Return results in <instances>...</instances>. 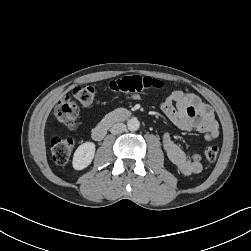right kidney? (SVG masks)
Returning <instances> with one entry per match:
<instances>
[{
  "mask_svg": "<svg viewBox=\"0 0 251 251\" xmlns=\"http://www.w3.org/2000/svg\"><path fill=\"white\" fill-rule=\"evenodd\" d=\"M95 155V144L92 142H85L81 144L75 151L73 156V168L75 170H82L88 167Z\"/></svg>",
  "mask_w": 251,
  "mask_h": 251,
  "instance_id": "obj_1",
  "label": "right kidney"
}]
</instances>
